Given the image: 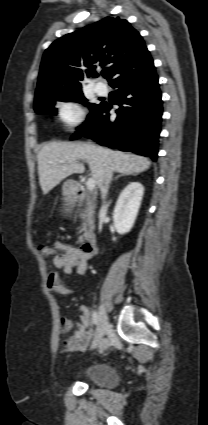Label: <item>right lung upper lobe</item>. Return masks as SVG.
Instances as JSON below:
<instances>
[{
	"label": "right lung upper lobe",
	"mask_w": 208,
	"mask_h": 425,
	"mask_svg": "<svg viewBox=\"0 0 208 425\" xmlns=\"http://www.w3.org/2000/svg\"><path fill=\"white\" fill-rule=\"evenodd\" d=\"M149 55L139 32L117 16L106 17L54 41L44 52L35 102L50 93L82 90L79 82L95 74V64L107 66L104 77L112 81L125 68Z\"/></svg>",
	"instance_id": "1"
}]
</instances>
